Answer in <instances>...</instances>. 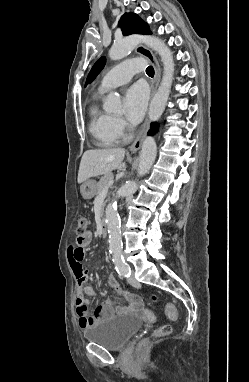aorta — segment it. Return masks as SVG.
<instances>
[{
    "instance_id": "obj_1",
    "label": "aorta",
    "mask_w": 249,
    "mask_h": 382,
    "mask_svg": "<svg viewBox=\"0 0 249 382\" xmlns=\"http://www.w3.org/2000/svg\"><path fill=\"white\" fill-rule=\"evenodd\" d=\"M142 42L156 51L163 63V77L161 84L154 95L149 107L150 121H157L168 101L174 76V60L171 50L157 37L133 35L116 41L109 50L111 60H120L127 56L139 43ZM121 100L119 94L110 92L104 102L107 112H117L120 109ZM157 153L156 142L153 137H146L142 144L138 177L147 174L153 165ZM137 190V181H129L117 192V197H125L134 194ZM106 223L109 234V249L115 256H121L122 237L120 231V217L117 212V203L112 202L106 208Z\"/></svg>"
}]
</instances>
